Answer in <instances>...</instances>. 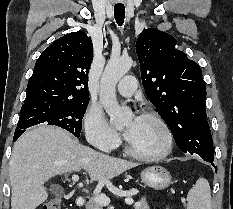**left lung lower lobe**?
<instances>
[{"instance_id":"1","label":"left lung lower lobe","mask_w":233,"mask_h":209,"mask_svg":"<svg viewBox=\"0 0 233 209\" xmlns=\"http://www.w3.org/2000/svg\"><path fill=\"white\" fill-rule=\"evenodd\" d=\"M202 159L205 160V161H207V162H210V163L213 162V158H210V157H205V158H202ZM212 165L214 166V168H216L213 163H212Z\"/></svg>"}]
</instances>
